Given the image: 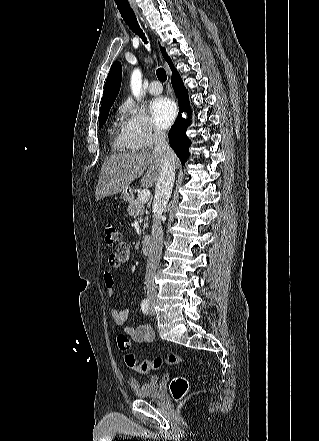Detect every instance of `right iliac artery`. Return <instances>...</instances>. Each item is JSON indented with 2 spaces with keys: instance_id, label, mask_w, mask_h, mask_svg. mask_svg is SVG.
I'll return each instance as SVG.
<instances>
[{
  "instance_id": "right-iliac-artery-1",
  "label": "right iliac artery",
  "mask_w": 319,
  "mask_h": 441,
  "mask_svg": "<svg viewBox=\"0 0 319 441\" xmlns=\"http://www.w3.org/2000/svg\"><path fill=\"white\" fill-rule=\"evenodd\" d=\"M148 309H149V303L147 299H144L141 303V310L144 314L148 313Z\"/></svg>"
}]
</instances>
